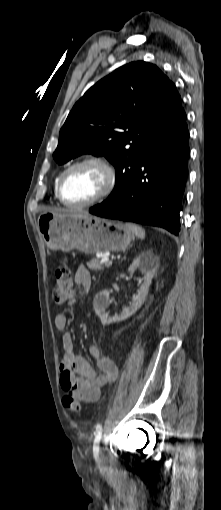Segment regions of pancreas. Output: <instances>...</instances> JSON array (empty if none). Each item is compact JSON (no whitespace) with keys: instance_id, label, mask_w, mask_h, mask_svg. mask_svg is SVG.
<instances>
[{"instance_id":"obj_1","label":"pancreas","mask_w":221,"mask_h":510,"mask_svg":"<svg viewBox=\"0 0 221 510\" xmlns=\"http://www.w3.org/2000/svg\"><path fill=\"white\" fill-rule=\"evenodd\" d=\"M87 266L90 270H95V271H101L104 269V266H103V263H101L99 261V259L97 258H94L92 260H90L88 263H87ZM105 267H109V266H106Z\"/></svg>"}]
</instances>
